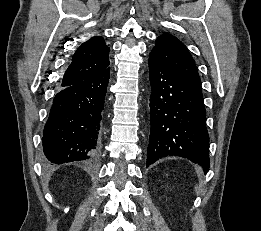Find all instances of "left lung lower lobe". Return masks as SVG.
I'll return each mask as SVG.
<instances>
[{
	"mask_svg": "<svg viewBox=\"0 0 261 231\" xmlns=\"http://www.w3.org/2000/svg\"><path fill=\"white\" fill-rule=\"evenodd\" d=\"M150 138L146 165L175 155L209 170V138L202 91L149 56Z\"/></svg>",
	"mask_w": 261,
	"mask_h": 231,
	"instance_id": "0a47b994",
	"label": "left lung lower lobe"
}]
</instances>
